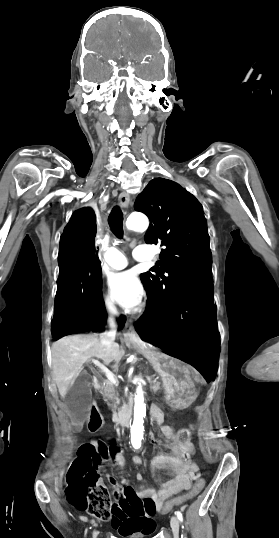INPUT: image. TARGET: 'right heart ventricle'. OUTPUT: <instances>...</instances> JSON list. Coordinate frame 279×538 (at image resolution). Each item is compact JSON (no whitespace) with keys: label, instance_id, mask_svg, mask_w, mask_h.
<instances>
[{"label":"right heart ventricle","instance_id":"obj_1","mask_svg":"<svg viewBox=\"0 0 279 538\" xmlns=\"http://www.w3.org/2000/svg\"><path fill=\"white\" fill-rule=\"evenodd\" d=\"M128 217L125 218V222H124V227H123V231H127L128 230Z\"/></svg>","mask_w":279,"mask_h":538}]
</instances>
